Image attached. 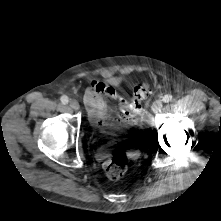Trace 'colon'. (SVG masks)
I'll return each instance as SVG.
<instances>
[{
    "instance_id": "5ec220e1",
    "label": "colon",
    "mask_w": 221,
    "mask_h": 221,
    "mask_svg": "<svg viewBox=\"0 0 221 221\" xmlns=\"http://www.w3.org/2000/svg\"><path fill=\"white\" fill-rule=\"evenodd\" d=\"M148 93L149 85L147 83L135 86L133 98L128 105V109L138 114L141 111V103L147 98ZM128 162V155L124 150H115L103 165L107 177L111 180L120 179L127 170Z\"/></svg>"
}]
</instances>
